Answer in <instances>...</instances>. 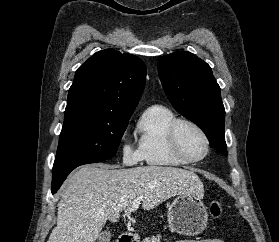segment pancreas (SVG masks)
<instances>
[{
  "instance_id": "pancreas-1",
  "label": "pancreas",
  "mask_w": 279,
  "mask_h": 242,
  "mask_svg": "<svg viewBox=\"0 0 279 242\" xmlns=\"http://www.w3.org/2000/svg\"><path fill=\"white\" fill-rule=\"evenodd\" d=\"M161 240V235H155V236H151V237H146L145 239H143L142 242H160Z\"/></svg>"
}]
</instances>
